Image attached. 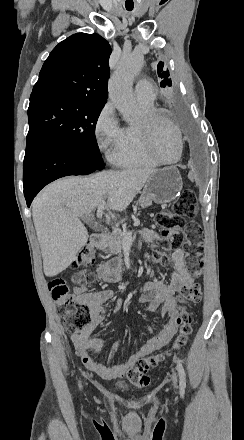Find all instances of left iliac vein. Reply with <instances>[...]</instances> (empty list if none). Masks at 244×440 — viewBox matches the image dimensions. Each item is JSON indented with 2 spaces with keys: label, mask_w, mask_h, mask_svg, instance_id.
Masks as SVG:
<instances>
[{
  "label": "left iliac vein",
  "mask_w": 244,
  "mask_h": 440,
  "mask_svg": "<svg viewBox=\"0 0 244 440\" xmlns=\"http://www.w3.org/2000/svg\"><path fill=\"white\" fill-rule=\"evenodd\" d=\"M172 384H173L174 389H177V376L176 375H173V377H172Z\"/></svg>",
  "instance_id": "obj_1"
}]
</instances>
